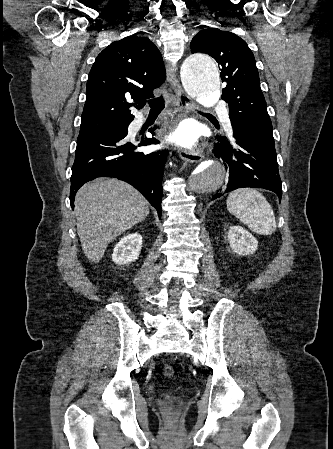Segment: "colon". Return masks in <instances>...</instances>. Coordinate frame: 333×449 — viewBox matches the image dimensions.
I'll return each mask as SVG.
<instances>
[{
	"instance_id": "obj_1",
	"label": "colon",
	"mask_w": 333,
	"mask_h": 449,
	"mask_svg": "<svg viewBox=\"0 0 333 449\" xmlns=\"http://www.w3.org/2000/svg\"><path fill=\"white\" fill-rule=\"evenodd\" d=\"M164 376L172 377L174 375V367L171 365H165L162 369Z\"/></svg>"
}]
</instances>
